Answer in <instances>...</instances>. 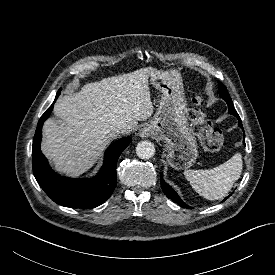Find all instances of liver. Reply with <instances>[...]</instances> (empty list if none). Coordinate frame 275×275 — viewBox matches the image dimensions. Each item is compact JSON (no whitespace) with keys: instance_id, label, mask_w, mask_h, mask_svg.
<instances>
[{"instance_id":"obj_1","label":"liver","mask_w":275,"mask_h":275,"mask_svg":"<svg viewBox=\"0 0 275 275\" xmlns=\"http://www.w3.org/2000/svg\"><path fill=\"white\" fill-rule=\"evenodd\" d=\"M152 67L87 83L60 97L43 125L42 152L57 171L78 176L90 169L109 142L126 126L129 133L153 114L148 78Z\"/></svg>"}]
</instances>
